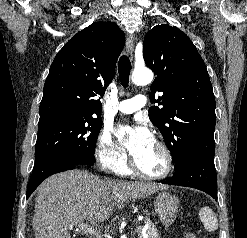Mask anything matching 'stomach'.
I'll return each instance as SVG.
<instances>
[{
  "label": "stomach",
  "mask_w": 247,
  "mask_h": 238,
  "mask_svg": "<svg viewBox=\"0 0 247 238\" xmlns=\"http://www.w3.org/2000/svg\"><path fill=\"white\" fill-rule=\"evenodd\" d=\"M154 207L163 225L168 227L174 222L177 216L179 200L170 193L161 192L155 198Z\"/></svg>",
  "instance_id": "0dacf381"
}]
</instances>
